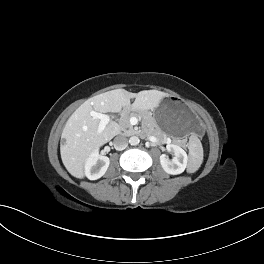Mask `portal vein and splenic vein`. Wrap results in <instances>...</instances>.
Segmentation results:
<instances>
[{"label":"portal vein and splenic vein","instance_id":"1","mask_svg":"<svg viewBox=\"0 0 264 264\" xmlns=\"http://www.w3.org/2000/svg\"><path fill=\"white\" fill-rule=\"evenodd\" d=\"M90 115L94 119H99L100 120L97 132L98 133H102L103 130L105 129L106 125L110 122V116L106 115V114L98 113V112H95V111H91Z\"/></svg>","mask_w":264,"mask_h":264}]
</instances>
